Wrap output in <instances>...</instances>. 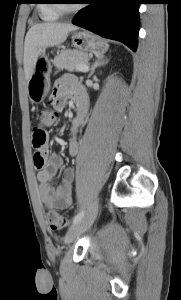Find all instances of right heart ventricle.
<instances>
[{
  "label": "right heart ventricle",
  "instance_id": "obj_1",
  "mask_svg": "<svg viewBox=\"0 0 181 300\" xmlns=\"http://www.w3.org/2000/svg\"><path fill=\"white\" fill-rule=\"evenodd\" d=\"M37 7L39 17L45 22H55L60 18V14L54 9L51 0H41Z\"/></svg>",
  "mask_w": 181,
  "mask_h": 300
}]
</instances>
